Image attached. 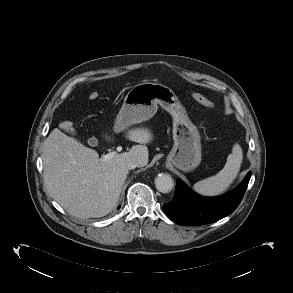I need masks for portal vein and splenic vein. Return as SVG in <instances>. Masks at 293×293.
Instances as JSON below:
<instances>
[{
	"label": "portal vein and splenic vein",
	"mask_w": 293,
	"mask_h": 293,
	"mask_svg": "<svg viewBox=\"0 0 293 293\" xmlns=\"http://www.w3.org/2000/svg\"><path fill=\"white\" fill-rule=\"evenodd\" d=\"M120 151H122V147L118 146L116 151H112V152H109L108 154L104 155L102 157V160L103 161L110 160V159L114 158L118 154L117 152H120Z\"/></svg>",
	"instance_id": "portal-vein-and-splenic-vein-1"
}]
</instances>
